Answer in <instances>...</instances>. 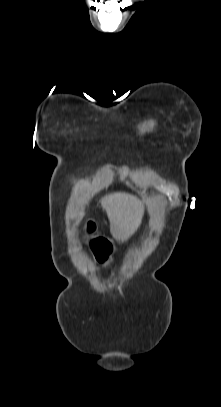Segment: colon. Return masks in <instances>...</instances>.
Returning a JSON list of instances; mask_svg holds the SVG:
<instances>
[{
	"label": "colon",
	"instance_id": "1",
	"mask_svg": "<svg viewBox=\"0 0 221 407\" xmlns=\"http://www.w3.org/2000/svg\"><path fill=\"white\" fill-rule=\"evenodd\" d=\"M88 223H93V218H88ZM88 232H93V227H88ZM78 237H83V232H78ZM110 251H111V246H110V244L107 242V241H105V240H102L101 242H100V244H99V259L101 260V261H103V260H105L106 258H107V255L110 253Z\"/></svg>",
	"mask_w": 221,
	"mask_h": 407
}]
</instances>
